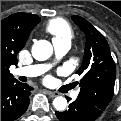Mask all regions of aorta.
<instances>
[{"mask_svg": "<svg viewBox=\"0 0 121 121\" xmlns=\"http://www.w3.org/2000/svg\"><path fill=\"white\" fill-rule=\"evenodd\" d=\"M31 52L34 59L44 61L51 57L53 47L47 40H38L33 44ZM53 106L57 111H63L67 106V100L62 96L56 97L53 100Z\"/></svg>", "mask_w": 121, "mask_h": 121, "instance_id": "762f6f07", "label": "aorta"}]
</instances>
